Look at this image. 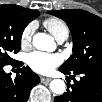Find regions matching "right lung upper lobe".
<instances>
[{
	"label": "right lung upper lobe",
	"mask_w": 102,
	"mask_h": 102,
	"mask_svg": "<svg viewBox=\"0 0 102 102\" xmlns=\"http://www.w3.org/2000/svg\"><path fill=\"white\" fill-rule=\"evenodd\" d=\"M14 6H17V5H14ZM19 7L22 11H24L25 13L29 14V15H36L37 13H39V11L37 10H31V9H26V8H23V7H20V6H17Z\"/></svg>",
	"instance_id": "right-lung-upper-lobe-1"
}]
</instances>
